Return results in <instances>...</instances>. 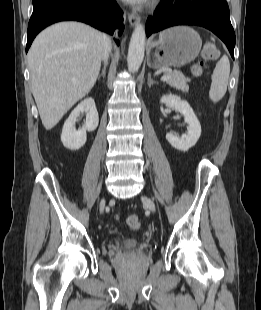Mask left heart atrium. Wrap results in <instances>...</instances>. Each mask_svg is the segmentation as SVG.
<instances>
[{
	"label": "left heart atrium",
	"instance_id": "left-heart-atrium-1",
	"mask_svg": "<svg viewBox=\"0 0 261 310\" xmlns=\"http://www.w3.org/2000/svg\"><path fill=\"white\" fill-rule=\"evenodd\" d=\"M124 1L131 4H141L144 3L146 0H124Z\"/></svg>",
	"mask_w": 261,
	"mask_h": 310
}]
</instances>
